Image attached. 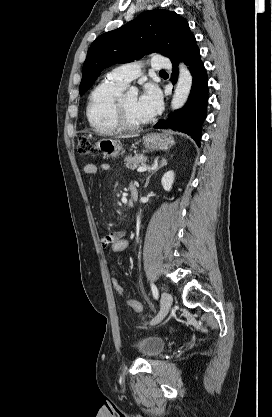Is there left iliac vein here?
Instances as JSON below:
<instances>
[{
	"label": "left iliac vein",
	"mask_w": 272,
	"mask_h": 417,
	"mask_svg": "<svg viewBox=\"0 0 272 417\" xmlns=\"http://www.w3.org/2000/svg\"><path fill=\"white\" fill-rule=\"evenodd\" d=\"M172 302H173L172 296L167 292H163L161 295V310L159 314L151 321L150 323L151 325H155L159 323L161 320H163V318L168 313L172 305Z\"/></svg>",
	"instance_id": "4c4485c4"
}]
</instances>
